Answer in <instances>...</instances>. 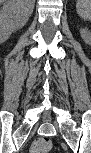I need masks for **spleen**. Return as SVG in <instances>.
<instances>
[{
	"instance_id": "1",
	"label": "spleen",
	"mask_w": 91,
	"mask_h": 153,
	"mask_svg": "<svg viewBox=\"0 0 91 153\" xmlns=\"http://www.w3.org/2000/svg\"><path fill=\"white\" fill-rule=\"evenodd\" d=\"M76 10L80 17L84 20H90L91 18V1L90 0H78L76 3Z\"/></svg>"
}]
</instances>
